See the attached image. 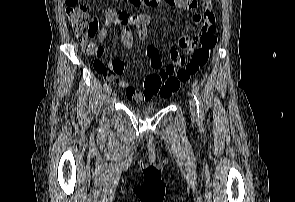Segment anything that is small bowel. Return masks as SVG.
Instances as JSON below:
<instances>
[{
    "label": "small bowel",
    "instance_id": "c3829d8e",
    "mask_svg": "<svg viewBox=\"0 0 295 202\" xmlns=\"http://www.w3.org/2000/svg\"><path fill=\"white\" fill-rule=\"evenodd\" d=\"M175 5L195 11L192 16V23L194 25L202 22L203 27L205 25L215 22V16L213 13V7L211 0H201V6L203 8L202 13H198L196 10L198 8V3L195 0H173ZM106 23L105 27L100 29L99 38L103 42L106 39V26L111 24H119L122 26L121 30V41L127 48H132L134 44L133 35L130 29V25L134 24L137 29V34L140 40L146 41L149 37V23L151 16L149 14H137L132 15L127 11L119 10L116 8H109L106 10ZM129 18H133V21H130ZM97 21V20H96ZM98 25V23H97ZM83 49L91 54H95L98 57H102L105 52V47L103 44L95 45L93 43L83 45ZM193 45L189 42L187 36H183L177 46H170L168 48V56L170 63L163 67V61L161 57V50L159 47L154 45H149L146 48V54L150 59L151 66L154 70H166L168 66L174 65L177 66V61L181 57V51L187 53L193 50ZM107 67L106 63H95V69L97 72L103 74L105 78L110 82H115L121 88L126 91L127 97L135 102L140 103L143 101H149L152 99L154 92L151 90H135L128 82L120 79L118 75H122L124 72V63H121L120 59H112ZM104 68V69H103Z\"/></svg>",
    "mask_w": 295,
    "mask_h": 202
}]
</instances>
